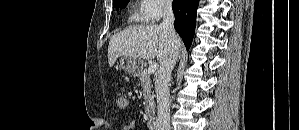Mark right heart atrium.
<instances>
[{"label":"right heart atrium","instance_id":"d8ad5b80","mask_svg":"<svg viewBox=\"0 0 299 130\" xmlns=\"http://www.w3.org/2000/svg\"><path fill=\"white\" fill-rule=\"evenodd\" d=\"M170 7L171 2L168 0H143L142 19L146 22H156Z\"/></svg>","mask_w":299,"mask_h":130}]
</instances>
